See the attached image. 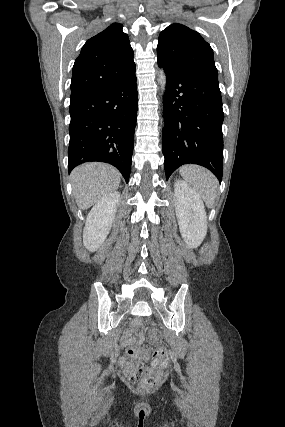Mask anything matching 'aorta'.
<instances>
[{
  "label": "aorta",
  "instance_id": "aorta-1",
  "mask_svg": "<svg viewBox=\"0 0 285 427\" xmlns=\"http://www.w3.org/2000/svg\"><path fill=\"white\" fill-rule=\"evenodd\" d=\"M158 83L160 85L161 92L163 94L166 90V75H165L164 70H162V69H160L158 72Z\"/></svg>",
  "mask_w": 285,
  "mask_h": 427
}]
</instances>
